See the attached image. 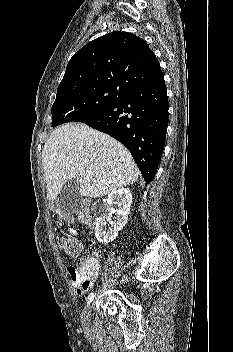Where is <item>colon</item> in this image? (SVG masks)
<instances>
[{
    "instance_id": "colon-1",
    "label": "colon",
    "mask_w": 233,
    "mask_h": 352,
    "mask_svg": "<svg viewBox=\"0 0 233 352\" xmlns=\"http://www.w3.org/2000/svg\"><path fill=\"white\" fill-rule=\"evenodd\" d=\"M78 219L82 224H93V215L87 203H83L79 211ZM58 242L61 250L70 257L78 256L83 248L81 241L69 237H61ZM97 271L98 266L95 262H86L84 260L79 262L74 269L75 275L83 279L91 277Z\"/></svg>"
}]
</instances>
